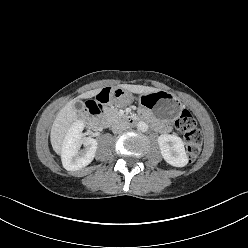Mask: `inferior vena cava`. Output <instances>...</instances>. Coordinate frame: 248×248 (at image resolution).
Here are the masks:
<instances>
[{
	"label": "inferior vena cava",
	"mask_w": 248,
	"mask_h": 248,
	"mask_svg": "<svg viewBox=\"0 0 248 248\" xmlns=\"http://www.w3.org/2000/svg\"><path fill=\"white\" fill-rule=\"evenodd\" d=\"M128 128L127 124L123 122H116L112 125V132L114 134L121 133L122 131L126 130Z\"/></svg>",
	"instance_id": "inferior-vena-cava-1"
}]
</instances>
